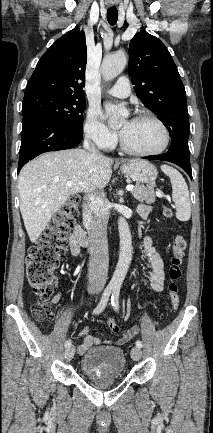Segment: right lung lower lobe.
Returning <instances> with one entry per match:
<instances>
[{
  "label": "right lung lower lobe",
  "mask_w": 213,
  "mask_h": 433,
  "mask_svg": "<svg viewBox=\"0 0 213 433\" xmlns=\"http://www.w3.org/2000/svg\"><path fill=\"white\" fill-rule=\"evenodd\" d=\"M83 135L37 113L23 115L18 172L25 163L48 152L76 147Z\"/></svg>",
  "instance_id": "right-lung-lower-lobe-1"
}]
</instances>
